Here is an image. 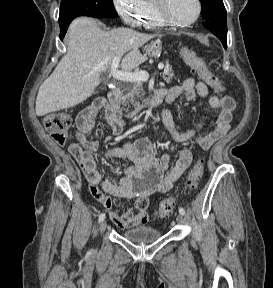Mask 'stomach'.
I'll return each instance as SVG.
<instances>
[{
    "label": "stomach",
    "mask_w": 273,
    "mask_h": 288,
    "mask_svg": "<svg viewBox=\"0 0 273 288\" xmlns=\"http://www.w3.org/2000/svg\"><path fill=\"white\" fill-rule=\"evenodd\" d=\"M162 50L161 40L158 38L155 41H152L146 49L147 54L150 57H158Z\"/></svg>",
    "instance_id": "1"
}]
</instances>
